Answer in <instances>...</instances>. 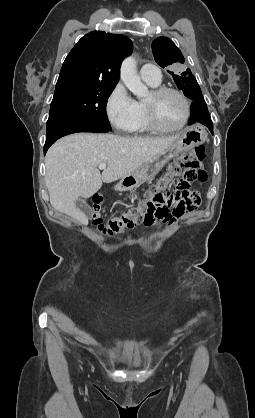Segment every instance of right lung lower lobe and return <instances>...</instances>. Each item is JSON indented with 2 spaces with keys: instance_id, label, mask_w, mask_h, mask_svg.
Segmentation results:
<instances>
[{
  "instance_id": "obj_1",
  "label": "right lung lower lobe",
  "mask_w": 255,
  "mask_h": 418,
  "mask_svg": "<svg viewBox=\"0 0 255 418\" xmlns=\"http://www.w3.org/2000/svg\"><path fill=\"white\" fill-rule=\"evenodd\" d=\"M111 129L97 123L76 118H54L47 121L46 142L44 154L48 148L59 138L77 132L105 133Z\"/></svg>"
}]
</instances>
